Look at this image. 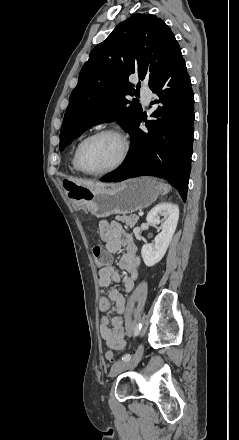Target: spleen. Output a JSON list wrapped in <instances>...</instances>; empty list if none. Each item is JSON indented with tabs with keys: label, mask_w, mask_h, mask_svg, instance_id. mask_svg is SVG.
Instances as JSON below:
<instances>
[{
	"label": "spleen",
	"mask_w": 239,
	"mask_h": 440,
	"mask_svg": "<svg viewBox=\"0 0 239 440\" xmlns=\"http://www.w3.org/2000/svg\"><path fill=\"white\" fill-rule=\"evenodd\" d=\"M161 186L164 194H168V192H170L171 186H169V184H161Z\"/></svg>",
	"instance_id": "1"
}]
</instances>
